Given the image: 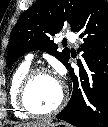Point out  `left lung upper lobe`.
Wrapping results in <instances>:
<instances>
[{
    "label": "left lung upper lobe",
    "instance_id": "obj_1",
    "mask_svg": "<svg viewBox=\"0 0 108 127\" xmlns=\"http://www.w3.org/2000/svg\"><path fill=\"white\" fill-rule=\"evenodd\" d=\"M85 0H37L20 16L10 38L7 65L10 67L21 55L32 50H43L65 66L70 53L67 49L58 51L52 37L64 25H70L72 31L78 22ZM94 80L101 71L92 70Z\"/></svg>",
    "mask_w": 108,
    "mask_h": 127
}]
</instances>
